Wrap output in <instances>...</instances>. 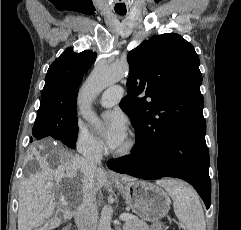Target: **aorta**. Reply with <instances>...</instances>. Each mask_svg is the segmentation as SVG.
Masks as SVG:
<instances>
[{
    "label": "aorta",
    "instance_id": "762f6f07",
    "mask_svg": "<svg viewBox=\"0 0 241 230\" xmlns=\"http://www.w3.org/2000/svg\"><path fill=\"white\" fill-rule=\"evenodd\" d=\"M129 65L125 61H118L108 66L96 67L87 78L79 95V105L83 118L95 128L101 127V122L91 109V102L105 88L121 81L129 74ZM113 208L105 205L98 222V230H112L111 221Z\"/></svg>",
    "mask_w": 241,
    "mask_h": 230
}]
</instances>
